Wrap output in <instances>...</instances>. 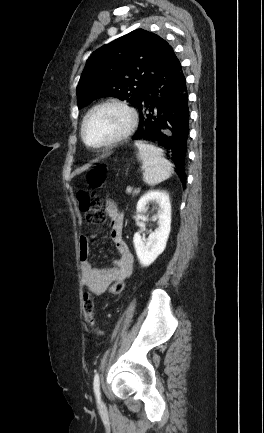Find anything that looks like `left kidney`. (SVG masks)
<instances>
[{
    "instance_id": "1",
    "label": "left kidney",
    "mask_w": 264,
    "mask_h": 433,
    "mask_svg": "<svg viewBox=\"0 0 264 433\" xmlns=\"http://www.w3.org/2000/svg\"><path fill=\"white\" fill-rule=\"evenodd\" d=\"M150 202L158 206L156 218L158 228L144 240L139 232L134 234L133 243L142 266L148 267L165 250L171 229V204L166 191H148L137 203V211L144 214Z\"/></svg>"
}]
</instances>
